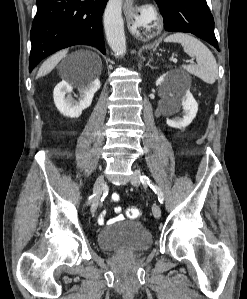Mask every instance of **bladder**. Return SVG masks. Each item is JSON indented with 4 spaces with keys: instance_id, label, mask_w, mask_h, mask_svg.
Listing matches in <instances>:
<instances>
[{
    "instance_id": "1",
    "label": "bladder",
    "mask_w": 247,
    "mask_h": 299,
    "mask_svg": "<svg viewBox=\"0 0 247 299\" xmlns=\"http://www.w3.org/2000/svg\"><path fill=\"white\" fill-rule=\"evenodd\" d=\"M97 242L106 251L136 253L150 248L152 234L141 223L124 220L99 231Z\"/></svg>"
}]
</instances>
